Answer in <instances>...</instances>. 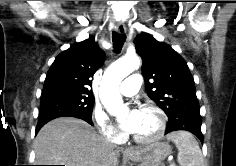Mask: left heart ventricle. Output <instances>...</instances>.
Returning <instances> with one entry per match:
<instances>
[{
	"label": "left heart ventricle",
	"mask_w": 236,
	"mask_h": 166,
	"mask_svg": "<svg viewBox=\"0 0 236 166\" xmlns=\"http://www.w3.org/2000/svg\"><path fill=\"white\" fill-rule=\"evenodd\" d=\"M158 128V117L154 111L140 110V124L134 135L148 137L156 132Z\"/></svg>",
	"instance_id": "obj_1"
}]
</instances>
